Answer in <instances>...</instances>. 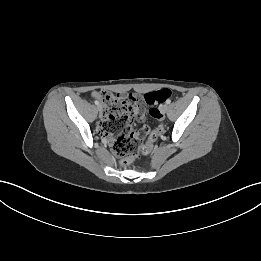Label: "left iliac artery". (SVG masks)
Instances as JSON below:
<instances>
[{
	"instance_id": "obj_1",
	"label": "left iliac artery",
	"mask_w": 261,
	"mask_h": 261,
	"mask_svg": "<svg viewBox=\"0 0 261 261\" xmlns=\"http://www.w3.org/2000/svg\"><path fill=\"white\" fill-rule=\"evenodd\" d=\"M166 103H167V104H170V103H171V100H170V99H167V100H166Z\"/></svg>"
}]
</instances>
